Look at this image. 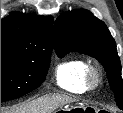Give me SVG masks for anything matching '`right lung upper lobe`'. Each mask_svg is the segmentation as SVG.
Wrapping results in <instances>:
<instances>
[{
  "instance_id": "obj_1",
  "label": "right lung upper lobe",
  "mask_w": 123,
  "mask_h": 113,
  "mask_svg": "<svg viewBox=\"0 0 123 113\" xmlns=\"http://www.w3.org/2000/svg\"><path fill=\"white\" fill-rule=\"evenodd\" d=\"M46 43L53 48V18L14 12L1 20V45Z\"/></svg>"
}]
</instances>
